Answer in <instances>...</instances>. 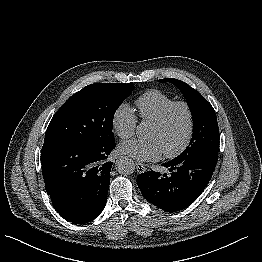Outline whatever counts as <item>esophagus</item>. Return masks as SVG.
Here are the masks:
<instances>
[{
	"label": "esophagus",
	"instance_id": "1",
	"mask_svg": "<svg viewBox=\"0 0 262 262\" xmlns=\"http://www.w3.org/2000/svg\"><path fill=\"white\" fill-rule=\"evenodd\" d=\"M136 169H137V172L139 173H143L146 171V167L144 166L143 163H140V162H136Z\"/></svg>",
	"mask_w": 262,
	"mask_h": 262
}]
</instances>
